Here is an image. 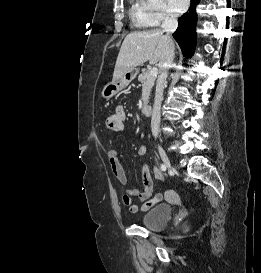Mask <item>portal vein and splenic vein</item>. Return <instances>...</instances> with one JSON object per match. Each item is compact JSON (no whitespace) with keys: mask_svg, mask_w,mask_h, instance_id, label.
I'll return each instance as SVG.
<instances>
[{"mask_svg":"<svg viewBox=\"0 0 261 273\" xmlns=\"http://www.w3.org/2000/svg\"><path fill=\"white\" fill-rule=\"evenodd\" d=\"M149 72H150V75L157 76L158 69H157V67H152Z\"/></svg>","mask_w":261,"mask_h":273,"instance_id":"portal-vein-and-splenic-vein-1","label":"portal vein and splenic vein"}]
</instances>
